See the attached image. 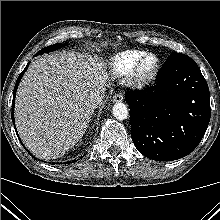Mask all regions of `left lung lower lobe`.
Segmentation results:
<instances>
[{"label": "left lung lower lobe", "mask_w": 220, "mask_h": 220, "mask_svg": "<svg viewBox=\"0 0 220 220\" xmlns=\"http://www.w3.org/2000/svg\"><path fill=\"white\" fill-rule=\"evenodd\" d=\"M125 100L134 145L153 160L172 161L190 154L210 121L207 82L187 55L169 56L156 85L130 91Z\"/></svg>", "instance_id": "1"}]
</instances>
